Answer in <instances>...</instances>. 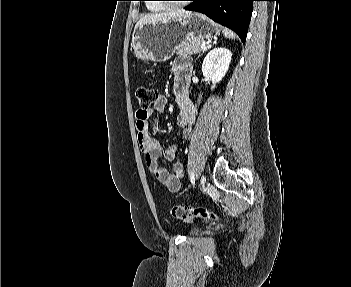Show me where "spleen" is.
Masks as SVG:
<instances>
[{"mask_svg":"<svg viewBox=\"0 0 351 287\" xmlns=\"http://www.w3.org/2000/svg\"><path fill=\"white\" fill-rule=\"evenodd\" d=\"M222 33H223V35H224L226 38L235 39V34H234V32L231 31V30L228 29V28H223V29H222Z\"/></svg>","mask_w":351,"mask_h":287,"instance_id":"spleen-1","label":"spleen"}]
</instances>
